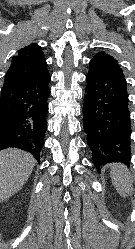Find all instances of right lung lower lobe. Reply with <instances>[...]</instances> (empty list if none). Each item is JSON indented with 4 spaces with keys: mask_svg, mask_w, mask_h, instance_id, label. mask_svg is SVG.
<instances>
[{
    "mask_svg": "<svg viewBox=\"0 0 135 249\" xmlns=\"http://www.w3.org/2000/svg\"><path fill=\"white\" fill-rule=\"evenodd\" d=\"M50 75L3 84L0 93V150L15 147L39 162L47 128Z\"/></svg>",
    "mask_w": 135,
    "mask_h": 249,
    "instance_id": "right-lung-lower-lobe-1",
    "label": "right lung lower lobe"
}]
</instances>
